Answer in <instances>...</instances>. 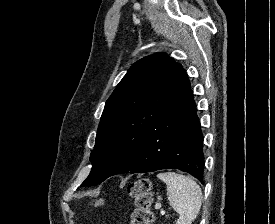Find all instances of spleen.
Segmentation results:
<instances>
[{"mask_svg":"<svg viewBox=\"0 0 275 224\" xmlns=\"http://www.w3.org/2000/svg\"><path fill=\"white\" fill-rule=\"evenodd\" d=\"M157 177L167 185L171 207L179 214L176 224H192L202 204L199 185L190 177L175 173H159Z\"/></svg>","mask_w":275,"mask_h":224,"instance_id":"3e777b00","label":"spleen"}]
</instances>
